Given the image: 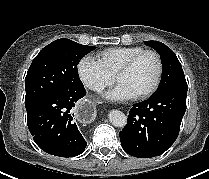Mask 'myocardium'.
<instances>
[{"mask_svg":"<svg viewBox=\"0 0 209 179\" xmlns=\"http://www.w3.org/2000/svg\"><path fill=\"white\" fill-rule=\"evenodd\" d=\"M146 54H150L153 55L157 61V74L156 77L153 81V83L151 84V86L146 89L145 91L134 95L132 98L136 99V100H141V99H145L149 96H151L158 88L162 75H163V61L162 58L160 56V54L152 49H144L138 53H136L135 55H133L132 57H130L126 62L123 63V65L117 70V72L114 75V81L117 82L118 78L123 75L124 73L128 72L133 65L144 55Z\"/></svg>","mask_w":209,"mask_h":179,"instance_id":"myocardium-1","label":"myocardium"}]
</instances>
